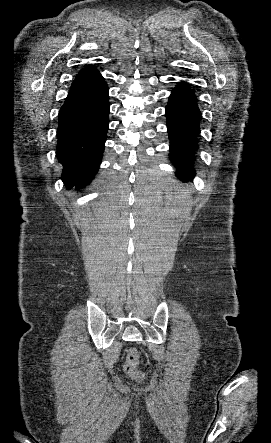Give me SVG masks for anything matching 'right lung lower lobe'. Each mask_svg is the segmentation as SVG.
<instances>
[{
  "instance_id": "obj_1",
  "label": "right lung lower lobe",
  "mask_w": 271,
  "mask_h": 443,
  "mask_svg": "<svg viewBox=\"0 0 271 443\" xmlns=\"http://www.w3.org/2000/svg\"><path fill=\"white\" fill-rule=\"evenodd\" d=\"M108 98L104 78L72 84L59 111L57 158L67 189L88 185L98 171L109 122Z\"/></svg>"
}]
</instances>
